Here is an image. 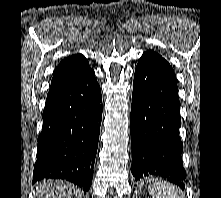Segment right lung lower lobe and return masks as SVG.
<instances>
[{
	"mask_svg": "<svg viewBox=\"0 0 221 198\" xmlns=\"http://www.w3.org/2000/svg\"><path fill=\"white\" fill-rule=\"evenodd\" d=\"M101 102L93 70L47 95L33 182L59 178L89 190L99 141Z\"/></svg>",
	"mask_w": 221,
	"mask_h": 198,
	"instance_id": "98d812e1",
	"label": "right lung lower lobe"
}]
</instances>
